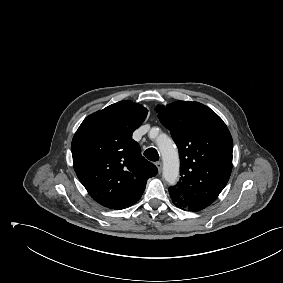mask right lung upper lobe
I'll use <instances>...</instances> for the list:
<instances>
[{
  "label": "right lung upper lobe",
  "mask_w": 283,
  "mask_h": 283,
  "mask_svg": "<svg viewBox=\"0 0 283 283\" xmlns=\"http://www.w3.org/2000/svg\"><path fill=\"white\" fill-rule=\"evenodd\" d=\"M146 116L142 105L120 101L86 117L73 137L74 170L104 207H130L141 198L148 178L158 173L132 139Z\"/></svg>",
  "instance_id": "1"
}]
</instances>
